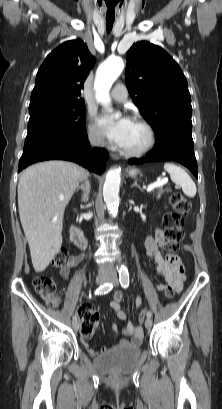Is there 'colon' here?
<instances>
[{"instance_id": "obj_1", "label": "colon", "mask_w": 222, "mask_h": 409, "mask_svg": "<svg viewBox=\"0 0 222 409\" xmlns=\"http://www.w3.org/2000/svg\"><path fill=\"white\" fill-rule=\"evenodd\" d=\"M173 212H169L164 216L165 225V249L169 252H174L179 247L180 242L183 239L182 225L184 219L190 211V202L179 192H173L169 196ZM168 256H175L171 253ZM67 252L60 250L53 258L52 266L54 268H62L67 262ZM34 288L36 292L49 304L50 306H56L59 302V297L56 290L55 280L46 274H40L35 277ZM175 294L174 289L168 288L165 292L166 298H171ZM149 307L142 311L139 315V322L142 323L145 318L148 317ZM78 315L80 317L81 337L85 340L90 339L99 323V317L97 311L90 305H81L78 309Z\"/></svg>"}]
</instances>
